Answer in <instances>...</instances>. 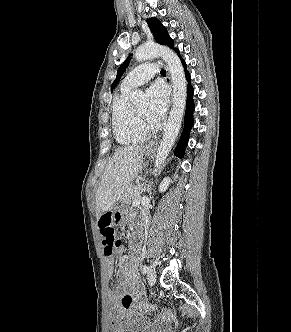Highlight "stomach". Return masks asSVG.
<instances>
[{"label": "stomach", "mask_w": 291, "mask_h": 332, "mask_svg": "<svg viewBox=\"0 0 291 332\" xmlns=\"http://www.w3.org/2000/svg\"><path fill=\"white\" fill-rule=\"evenodd\" d=\"M152 152H153L152 149L147 148V150L145 152V155L149 157V156H151ZM122 218H123V209H122V207L117 206L114 209V212H113V222H114V224L119 225L121 223Z\"/></svg>", "instance_id": "1"}]
</instances>
